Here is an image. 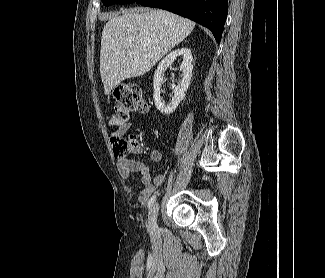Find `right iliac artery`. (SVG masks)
<instances>
[{
  "mask_svg": "<svg viewBox=\"0 0 325 278\" xmlns=\"http://www.w3.org/2000/svg\"><path fill=\"white\" fill-rule=\"evenodd\" d=\"M190 173L191 172H189V175H190ZM155 199H156V195L155 194L149 199V202H148V208L149 209L153 206V204L155 202ZM146 226H147V228L149 230L150 226L148 224H146Z\"/></svg>",
  "mask_w": 325,
  "mask_h": 278,
  "instance_id": "obj_1",
  "label": "right iliac artery"
}]
</instances>
